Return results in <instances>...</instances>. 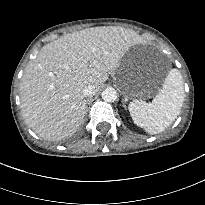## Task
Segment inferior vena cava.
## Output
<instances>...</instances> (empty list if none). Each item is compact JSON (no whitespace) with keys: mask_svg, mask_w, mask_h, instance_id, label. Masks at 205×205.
Listing matches in <instances>:
<instances>
[{"mask_svg":"<svg viewBox=\"0 0 205 205\" xmlns=\"http://www.w3.org/2000/svg\"><path fill=\"white\" fill-rule=\"evenodd\" d=\"M95 87L93 85H88L83 88L82 93L85 97H90L95 94Z\"/></svg>","mask_w":205,"mask_h":205,"instance_id":"obj_1","label":"inferior vena cava"}]
</instances>
